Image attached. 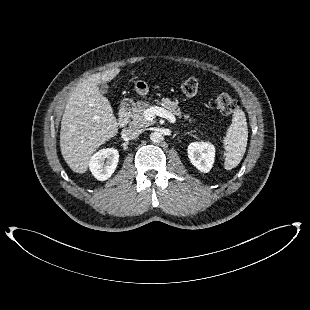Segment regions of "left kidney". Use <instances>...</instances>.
<instances>
[{
	"instance_id": "left-kidney-1",
	"label": "left kidney",
	"mask_w": 310,
	"mask_h": 310,
	"mask_svg": "<svg viewBox=\"0 0 310 310\" xmlns=\"http://www.w3.org/2000/svg\"><path fill=\"white\" fill-rule=\"evenodd\" d=\"M190 162L201 172L207 173L213 166L215 147L209 142H193L188 146Z\"/></svg>"
}]
</instances>
